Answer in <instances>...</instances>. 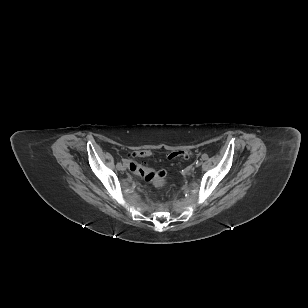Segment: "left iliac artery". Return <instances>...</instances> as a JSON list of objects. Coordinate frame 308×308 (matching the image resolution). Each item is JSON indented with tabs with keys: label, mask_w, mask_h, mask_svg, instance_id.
I'll list each match as a JSON object with an SVG mask.
<instances>
[{
	"label": "left iliac artery",
	"mask_w": 308,
	"mask_h": 308,
	"mask_svg": "<svg viewBox=\"0 0 308 308\" xmlns=\"http://www.w3.org/2000/svg\"><path fill=\"white\" fill-rule=\"evenodd\" d=\"M207 157H206V155L204 154V155H202V159L203 160H205ZM198 162V161H197Z\"/></svg>",
	"instance_id": "1"
}]
</instances>
